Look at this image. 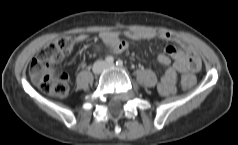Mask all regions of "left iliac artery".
Segmentation results:
<instances>
[{
  "mask_svg": "<svg viewBox=\"0 0 238 145\" xmlns=\"http://www.w3.org/2000/svg\"><path fill=\"white\" fill-rule=\"evenodd\" d=\"M116 65L118 66V67H122L123 66V61L122 60H117L116 61Z\"/></svg>",
  "mask_w": 238,
  "mask_h": 145,
  "instance_id": "1",
  "label": "left iliac artery"
}]
</instances>
